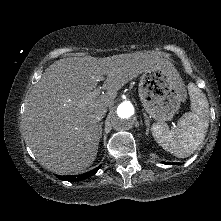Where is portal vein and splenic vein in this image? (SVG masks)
Listing matches in <instances>:
<instances>
[{"label":"portal vein and splenic vein","instance_id":"18ae733b","mask_svg":"<svg viewBox=\"0 0 221 221\" xmlns=\"http://www.w3.org/2000/svg\"><path fill=\"white\" fill-rule=\"evenodd\" d=\"M102 80H103V77L99 78V81H102ZM99 94H100V88L99 89H95L94 91H92L89 94L90 100H94Z\"/></svg>","mask_w":221,"mask_h":221}]
</instances>
